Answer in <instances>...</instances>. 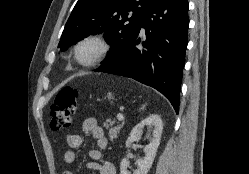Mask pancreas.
<instances>
[{"mask_svg":"<svg viewBox=\"0 0 249 174\" xmlns=\"http://www.w3.org/2000/svg\"><path fill=\"white\" fill-rule=\"evenodd\" d=\"M115 122L112 121L111 119H107L103 126L106 128V129H109V137L111 140H114L115 138H117L118 136V133L120 131V129L122 128V125L118 124V125H114ZM114 125V126H113ZM113 126V127H111Z\"/></svg>","mask_w":249,"mask_h":174,"instance_id":"1","label":"pancreas"}]
</instances>
